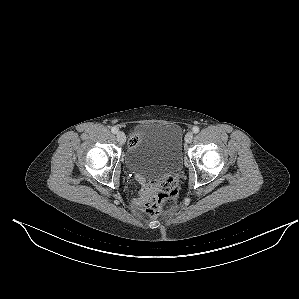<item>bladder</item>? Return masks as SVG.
<instances>
[{
  "label": "bladder",
  "mask_w": 299,
  "mask_h": 299,
  "mask_svg": "<svg viewBox=\"0 0 299 299\" xmlns=\"http://www.w3.org/2000/svg\"><path fill=\"white\" fill-rule=\"evenodd\" d=\"M135 137L125 155L132 172L156 179L181 169L183 134L178 125L144 123L137 127Z\"/></svg>",
  "instance_id": "31cf9c89"
}]
</instances>
